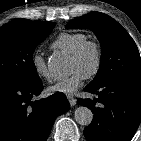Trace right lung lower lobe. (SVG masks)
Masks as SVG:
<instances>
[{"label":"right lung lower lobe","instance_id":"right-lung-lower-lobe-1","mask_svg":"<svg viewBox=\"0 0 141 141\" xmlns=\"http://www.w3.org/2000/svg\"><path fill=\"white\" fill-rule=\"evenodd\" d=\"M42 90L41 80L0 82V141H46L69 102L61 92L33 102Z\"/></svg>","mask_w":141,"mask_h":141}]
</instances>
